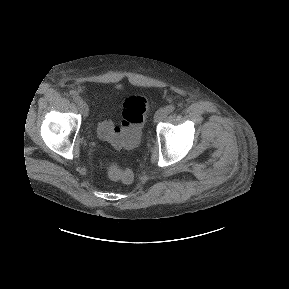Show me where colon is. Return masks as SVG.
I'll return each instance as SVG.
<instances>
[{"mask_svg":"<svg viewBox=\"0 0 289 289\" xmlns=\"http://www.w3.org/2000/svg\"><path fill=\"white\" fill-rule=\"evenodd\" d=\"M148 101L145 97L134 95L123 103L122 121L119 126H114L109 121L99 124V135L111 143L124 146L126 149H134L139 144V137L147 112ZM107 174L116 180L129 183L133 180V172L130 169H121L116 163H107Z\"/></svg>","mask_w":289,"mask_h":289,"instance_id":"colon-1","label":"colon"}]
</instances>
